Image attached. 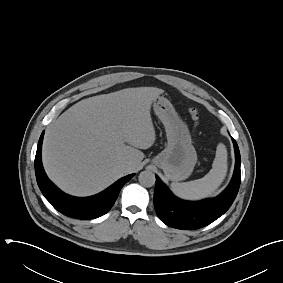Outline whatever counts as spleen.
<instances>
[{"label":"spleen","mask_w":283,"mask_h":283,"mask_svg":"<svg viewBox=\"0 0 283 283\" xmlns=\"http://www.w3.org/2000/svg\"><path fill=\"white\" fill-rule=\"evenodd\" d=\"M227 150L220 143L216 149V156L212 169L201 179L190 182L171 184L172 192L181 199L200 200L211 196L224 181L227 175Z\"/></svg>","instance_id":"obj_1"}]
</instances>
